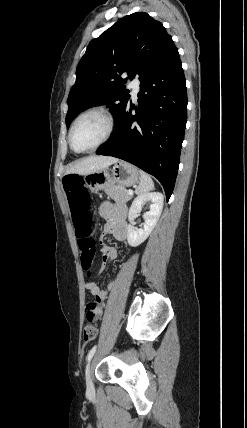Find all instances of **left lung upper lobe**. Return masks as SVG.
Here are the masks:
<instances>
[{
  "label": "left lung upper lobe",
  "instance_id": "1",
  "mask_svg": "<svg viewBox=\"0 0 247 428\" xmlns=\"http://www.w3.org/2000/svg\"><path fill=\"white\" fill-rule=\"evenodd\" d=\"M176 47L162 23L145 12L125 16L92 40L68 96L66 125L91 106L107 105L118 120L129 103L127 79H139ZM128 78L122 79L121 75Z\"/></svg>",
  "mask_w": 247,
  "mask_h": 428
}]
</instances>
